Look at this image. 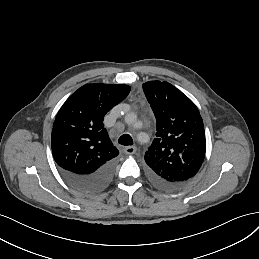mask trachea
<instances>
[{
  "label": "trachea",
  "instance_id": "3493384b",
  "mask_svg": "<svg viewBox=\"0 0 259 259\" xmlns=\"http://www.w3.org/2000/svg\"><path fill=\"white\" fill-rule=\"evenodd\" d=\"M118 143L124 146H129L133 144V139L130 135L124 134L118 139Z\"/></svg>",
  "mask_w": 259,
  "mask_h": 259
}]
</instances>
